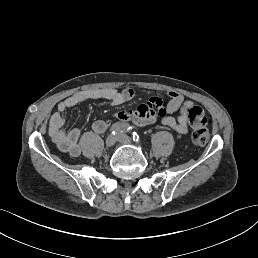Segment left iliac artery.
<instances>
[{
	"label": "left iliac artery",
	"instance_id": "left-iliac-artery-1",
	"mask_svg": "<svg viewBox=\"0 0 258 258\" xmlns=\"http://www.w3.org/2000/svg\"><path fill=\"white\" fill-rule=\"evenodd\" d=\"M132 138H133V141H134L136 144H139V143H140L139 135H138L136 132H133V133H132Z\"/></svg>",
	"mask_w": 258,
	"mask_h": 258
}]
</instances>
